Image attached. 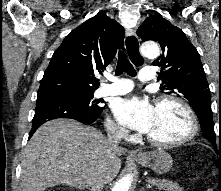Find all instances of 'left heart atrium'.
<instances>
[{
  "label": "left heart atrium",
  "instance_id": "39dd6f15",
  "mask_svg": "<svg viewBox=\"0 0 221 191\" xmlns=\"http://www.w3.org/2000/svg\"><path fill=\"white\" fill-rule=\"evenodd\" d=\"M113 112L122 124L148 133L155 119L156 107L145 98L130 95L116 100Z\"/></svg>",
  "mask_w": 221,
  "mask_h": 191
}]
</instances>
